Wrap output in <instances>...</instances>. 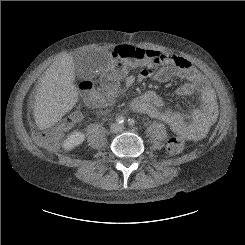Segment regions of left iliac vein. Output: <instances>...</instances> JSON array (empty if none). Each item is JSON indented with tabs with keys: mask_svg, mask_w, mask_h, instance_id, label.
Segmentation results:
<instances>
[{
	"mask_svg": "<svg viewBox=\"0 0 245 245\" xmlns=\"http://www.w3.org/2000/svg\"><path fill=\"white\" fill-rule=\"evenodd\" d=\"M120 128H121V130H123L124 129V125H121Z\"/></svg>",
	"mask_w": 245,
	"mask_h": 245,
	"instance_id": "obj_1",
	"label": "left iliac vein"
}]
</instances>
